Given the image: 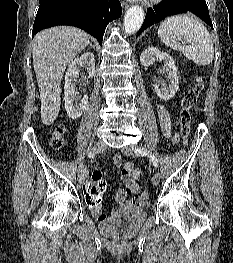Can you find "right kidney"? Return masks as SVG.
Returning <instances> with one entry per match:
<instances>
[{"label": "right kidney", "instance_id": "obj_1", "mask_svg": "<svg viewBox=\"0 0 233 263\" xmlns=\"http://www.w3.org/2000/svg\"><path fill=\"white\" fill-rule=\"evenodd\" d=\"M84 67L87 70L88 78L95 75V58L91 52H85L75 58L69 65L65 75L64 100L67 114L72 119L79 118L88 105V96H79L76 91L79 69Z\"/></svg>", "mask_w": 233, "mask_h": 263}]
</instances>
